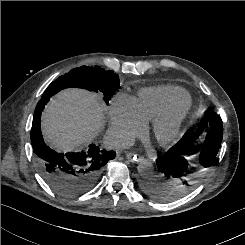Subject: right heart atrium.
Returning a JSON list of instances; mask_svg holds the SVG:
<instances>
[{
	"mask_svg": "<svg viewBox=\"0 0 245 245\" xmlns=\"http://www.w3.org/2000/svg\"><path fill=\"white\" fill-rule=\"evenodd\" d=\"M146 129L135 100L125 94L115 95L109 103V136L120 146L129 145Z\"/></svg>",
	"mask_w": 245,
	"mask_h": 245,
	"instance_id": "obj_1",
	"label": "right heart atrium"
}]
</instances>
